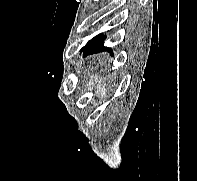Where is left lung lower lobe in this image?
<instances>
[{"label":"left lung lower lobe","mask_w":197,"mask_h":181,"mask_svg":"<svg viewBox=\"0 0 197 181\" xmlns=\"http://www.w3.org/2000/svg\"><path fill=\"white\" fill-rule=\"evenodd\" d=\"M105 39L106 35H97L96 37L88 41V43L81 49V52H83L84 55L98 53L102 51H110V53L113 54V50L111 48L104 46Z\"/></svg>","instance_id":"1"}]
</instances>
